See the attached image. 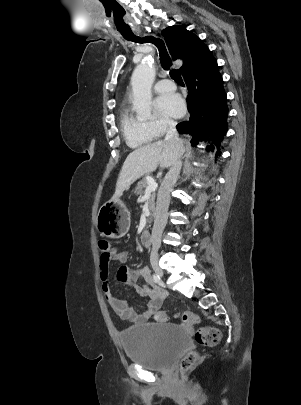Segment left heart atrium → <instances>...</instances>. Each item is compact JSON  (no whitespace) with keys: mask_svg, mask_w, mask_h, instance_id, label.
Returning a JSON list of instances; mask_svg holds the SVG:
<instances>
[{"mask_svg":"<svg viewBox=\"0 0 301 405\" xmlns=\"http://www.w3.org/2000/svg\"><path fill=\"white\" fill-rule=\"evenodd\" d=\"M156 108L163 114L172 118H179L185 113V104L180 95L167 93L158 96L155 100Z\"/></svg>","mask_w":301,"mask_h":405,"instance_id":"1","label":"left heart atrium"}]
</instances>
